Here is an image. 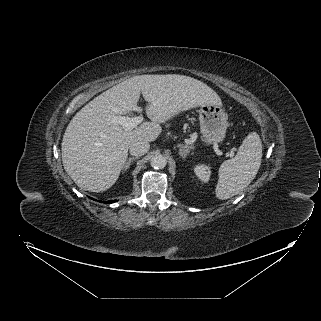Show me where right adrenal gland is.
<instances>
[{
	"label": "right adrenal gland",
	"mask_w": 321,
	"mask_h": 321,
	"mask_svg": "<svg viewBox=\"0 0 321 321\" xmlns=\"http://www.w3.org/2000/svg\"><path fill=\"white\" fill-rule=\"evenodd\" d=\"M136 159H138V157H131V158H129V159L125 162V164L123 165L122 171H126V170L129 168V166H130V164L132 163V161H133V160H136Z\"/></svg>",
	"instance_id": "right-adrenal-gland-1"
}]
</instances>
